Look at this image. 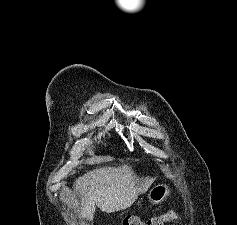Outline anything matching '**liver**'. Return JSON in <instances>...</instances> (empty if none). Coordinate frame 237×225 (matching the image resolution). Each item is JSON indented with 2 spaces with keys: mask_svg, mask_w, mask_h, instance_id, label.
<instances>
[{
  "mask_svg": "<svg viewBox=\"0 0 237 225\" xmlns=\"http://www.w3.org/2000/svg\"><path fill=\"white\" fill-rule=\"evenodd\" d=\"M154 180L137 177L128 165L91 171L76 181L75 192L81 198L79 215L93 221L96 206L106 213L125 210Z\"/></svg>",
  "mask_w": 237,
  "mask_h": 225,
  "instance_id": "1",
  "label": "liver"
}]
</instances>
